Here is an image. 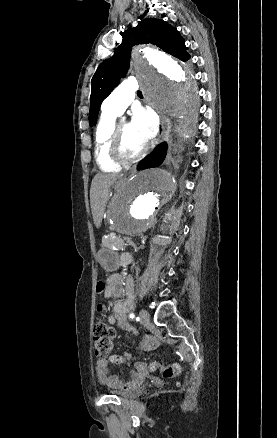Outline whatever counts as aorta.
Listing matches in <instances>:
<instances>
[{
  "label": "aorta",
  "mask_w": 277,
  "mask_h": 438,
  "mask_svg": "<svg viewBox=\"0 0 277 438\" xmlns=\"http://www.w3.org/2000/svg\"><path fill=\"white\" fill-rule=\"evenodd\" d=\"M136 76L146 98L161 113L179 120L177 130L188 137L196 125L198 87L187 65L154 49L134 57ZM175 188L172 175L162 169L140 172L116 194L111 205L113 228L134 236L152 227Z\"/></svg>",
  "instance_id": "1"
}]
</instances>
